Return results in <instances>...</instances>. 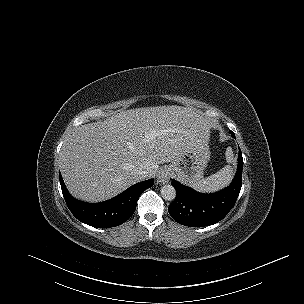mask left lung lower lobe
I'll use <instances>...</instances> for the list:
<instances>
[{"label":"left lung lower lobe","instance_id":"left-lung-lower-lobe-1","mask_svg":"<svg viewBox=\"0 0 304 304\" xmlns=\"http://www.w3.org/2000/svg\"><path fill=\"white\" fill-rule=\"evenodd\" d=\"M235 138V136H233ZM243 158L239 149L238 167L232 183L225 189L202 194L172 180L176 189L175 201L169 206L171 217L179 224L189 227H204L222 220L235 205L242 187Z\"/></svg>","mask_w":304,"mask_h":304}]
</instances>
